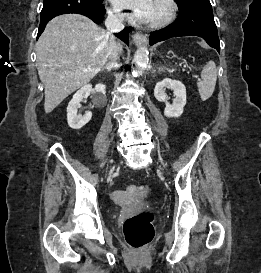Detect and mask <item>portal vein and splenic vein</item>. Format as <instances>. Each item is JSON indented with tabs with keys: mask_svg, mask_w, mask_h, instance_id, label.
<instances>
[{
	"mask_svg": "<svg viewBox=\"0 0 261 273\" xmlns=\"http://www.w3.org/2000/svg\"><path fill=\"white\" fill-rule=\"evenodd\" d=\"M186 68V66H184V69ZM84 71H87V70H84ZM195 77V79H199V77L198 76H194Z\"/></svg>",
	"mask_w": 261,
	"mask_h": 273,
	"instance_id": "obj_1",
	"label": "portal vein and splenic vein"
}]
</instances>
